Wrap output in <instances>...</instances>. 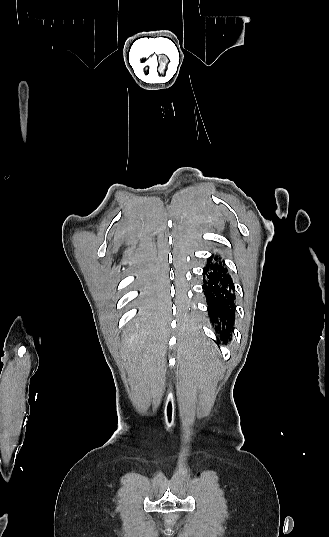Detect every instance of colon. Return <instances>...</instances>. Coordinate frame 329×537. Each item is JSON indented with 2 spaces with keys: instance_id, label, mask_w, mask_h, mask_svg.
I'll return each instance as SVG.
<instances>
[{
  "instance_id": "5ec220e1",
  "label": "colon",
  "mask_w": 329,
  "mask_h": 537,
  "mask_svg": "<svg viewBox=\"0 0 329 537\" xmlns=\"http://www.w3.org/2000/svg\"><path fill=\"white\" fill-rule=\"evenodd\" d=\"M163 516L165 518L177 519L179 517V512L177 510L165 511L163 513Z\"/></svg>"
}]
</instances>
